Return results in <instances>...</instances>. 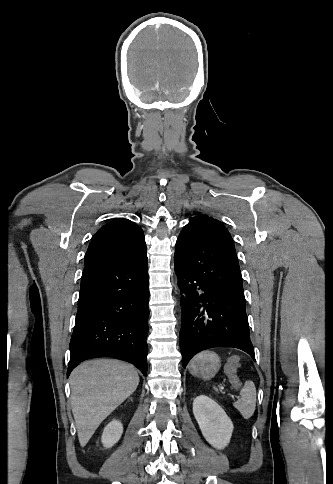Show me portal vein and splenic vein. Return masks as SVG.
<instances>
[{"label": "portal vein and splenic vein", "mask_w": 333, "mask_h": 484, "mask_svg": "<svg viewBox=\"0 0 333 484\" xmlns=\"http://www.w3.org/2000/svg\"><path fill=\"white\" fill-rule=\"evenodd\" d=\"M221 389H224V388H221ZM228 395H229L230 397H233V398H234V397H236V396H234V395H233V394H231V393H228Z\"/></svg>", "instance_id": "obj_1"}]
</instances>
